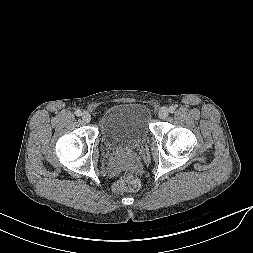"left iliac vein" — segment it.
I'll list each match as a JSON object with an SVG mask.
<instances>
[{"label":"left iliac vein","instance_id":"4c4485c4","mask_svg":"<svg viewBox=\"0 0 253 253\" xmlns=\"http://www.w3.org/2000/svg\"><path fill=\"white\" fill-rule=\"evenodd\" d=\"M169 114V109L167 107H162L160 110H159V118L161 119H165Z\"/></svg>","mask_w":253,"mask_h":253}]
</instances>
